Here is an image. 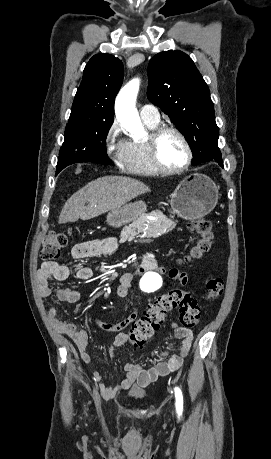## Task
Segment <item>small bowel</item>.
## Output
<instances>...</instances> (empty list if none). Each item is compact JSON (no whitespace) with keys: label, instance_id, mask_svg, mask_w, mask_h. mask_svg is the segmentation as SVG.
Here are the masks:
<instances>
[{"label":"small bowel","instance_id":"c3829d8e","mask_svg":"<svg viewBox=\"0 0 271 459\" xmlns=\"http://www.w3.org/2000/svg\"><path fill=\"white\" fill-rule=\"evenodd\" d=\"M118 241L115 238L94 239L76 244L71 250V257L75 260H83L86 258L99 257L102 255H112L117 251ZM157 269V263L153 255H146L140 269L136 273H126L120 278V286L117 293L120 297L128 296L132 281L137 274H142L148 270ZM170 278L177 280L181 286H186L189 283V276L186 272L178 271L177 269L162 270ZM93 271L86 266H80L75 271V277L79 280H88L92 277ZM70 270L67 266L53 261L44 262L37 274V283L40 294L43 298L55 294L57 299L65 303H75L81 297V292L76 289L67 287H52L53 281L62 282L69 278ZM138 303L135 304L133 310L121 321L116 323H108L96 320V324L104 331L117 332L112 344L109 348V353L113 357L114 350L122 346L128 340L127 335L121 331L134 323L138 316ZM48 318L53 328L67 336L75 343L79 356L84 363H90L91 357L87 351L89 339L87 333L76 327L74 324L60 319L57 316L56 309L51 307L48 309ZM171 332L174 337L180 340V345L175 353H168L164 350H155L152 356L159 358L160 361L153 367L144 368L140 364H125L126 377L120 384L115 387H110L105 384L99 372H94V376L99 381V390L103 398L110 399L116 396L120 391L130 388L138 389L145 388L160 377H165L177 371L183 364L184 359L189 355L193 344V332L191 329L179 326L175 323L171 325Z\"/></svg>","mask_w":271,"mask_h":459}]
</instances>
